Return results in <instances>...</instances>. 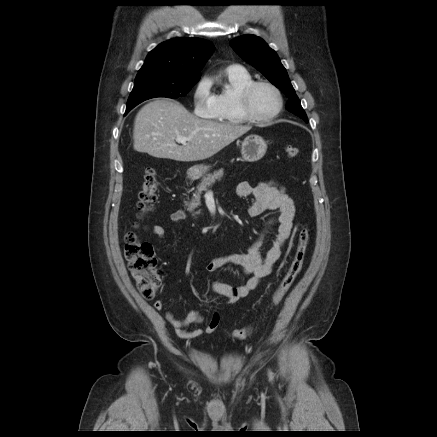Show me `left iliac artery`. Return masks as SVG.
I'll use <instances>...</instances> for the list:
<instances>
[{
	"mask_svg": "<svg viewBox=\"0 0 437 437\" xmlns=\"http://www.w3.org/2000/svg\"><path fill=\"white\" fill-rule=\"evenodd\" d=\"M269 377H270L271 380L273 379V375H272L271 371H269Z\"/></svg>",
	"mask_w": 437,
	"mask_h": 437,
	"instance_id": "44dca946",
	"label": "left iliac artery"
}]
</instances>
